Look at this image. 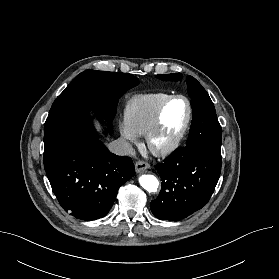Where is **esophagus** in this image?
Wrapping results in <instances>:
<instances>
[{"label":"esophagus","instance_id":"1","mask_svg":"<svg viewBox=\"0 0 279 279\" xmlns=\"http://www.w3.org/2000/svg\"><path fill=\"white\" fill-rule=\"evenodd\" d=\"M150 165L145 161H137L135 163V170L137 173H141L146 169H149Z\"/></svg>","mask_w":279,"mask_h":279}]
</instances>
